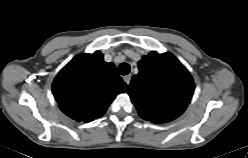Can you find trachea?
<instances>
[{
  "mask_svg": "<svg viewBox=\"0 0 248 158\" xmlns=\"http://www.w3.org/2000/svg\"><path fill=\"white\" fill-rule=\"evenodd\" d=\"M120 75H127L130 72V65L128 63H121L118 67Z\"/></svg>",
  "mask_w": 248,
  "mask_h": 158,
  "instance_id": "3493384b",
  "label": "trachea"
}]
</instances>
